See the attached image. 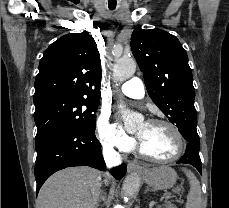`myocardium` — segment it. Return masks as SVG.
I'll return each instance as SVG.
<instances>
[{"label": "myocardium", "mask_w": 229, "mask_h": 208, "mask_svg": "<svg viewBox=\"0 0 229 208\" xmlns=\"http://www.w3.org/2000/svg\"><path fill=\"white\" fill-rule=\"evenodd\" d=\"M147 123L148 124H163V125H166V126L172 128L173 130H170V135H172L171 136L172 142L176 143L177 147H182V146L183 147H182L181 151L178 152L176 155L169 157V160H160V157H150L149 156L150 152L145 151L144 142L139 138L138 146L140 147L141 153L144 156L148 157L151 161L158 162V163H171V162L179 160L188 148V139H187L186 135L184 134V132L181 130V128L179 126H177L175 123H173L169 120H165V119L153 118V119L148 120ZM182 139H183V143H182Z\"/></svg>", "instance_id": "myocardium-1"}]
</instances>
